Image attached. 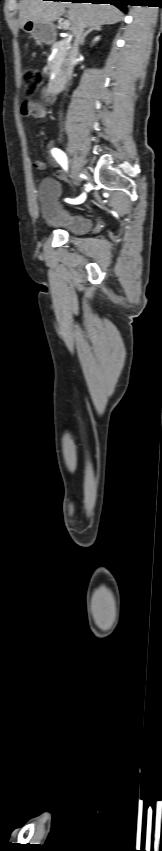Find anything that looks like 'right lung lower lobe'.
<instances>
[{
	"label": "right lung lower lobe",
	"instance_id": "right-lung-lower-lobe-1",
	"mask_svg": "<svg viewBox=\"0 0 162 851\" xmlns=\"http://www.w3.org/2000/svg\"><path fill=\"white\" fill-rule=\"evenodd\" d=\"M63 1V0H56ZM71 2H81V3H93V4H111L117 6L123 12L127 11L126 6L129 4L130 0H71ZM131 5V4H130Z\"/></svg>",
	"mask_w": 162,
	"mask_h": 851
}]
</instances>
